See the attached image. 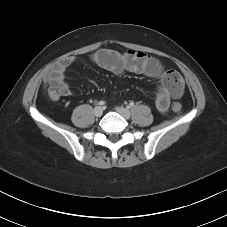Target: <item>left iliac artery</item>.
<instances>
[{
	"label": "left iliac artery",
	"mask_w": 227,
	"mask_h": 227,
	"mask_svg": "<svg viewBox=\"0 0 227 227\" xmlns=\"http://www.w3.org/2000/svg\"><path fill=\"white\" fill-rule=\"evenodd\" d=\"M129 106H130V107H133V106H134V102H130V103H129Z\"/></svg>",
	"instance_id": "44dca946"
}]
</instances>
